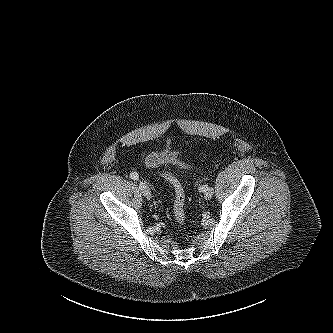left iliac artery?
<instances>
[{"label": "left iliac artery", "mask_w": 333, "mask_h": 333, "mask_svg": "<svg viewBox=\"0 0 333 333\" xmlns=\"http://www.w3.org/2000/svg\"><path fill=\"white\" fill-rule=\"evenodd\" d=\"M208 189H209V188H208L207 185H203V186L200 187V191H202V192H205V191L208 190Z\"/></svg>", "instance_id": "obj_1"}]
</instances>
